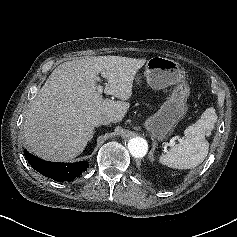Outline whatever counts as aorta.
<instances>
[{
	"label": "aorta",
	"mask_w": 237,
	"mask_h": 237,
	"mask_svg": "<svg viewBox=\"0 0 237 237\" xmlns=\"http://www.w3.org/2000/svg\"><path fill=\"white\" fill-rule=\"evenodd\" d=\"M128 148L132 156L136 158H141L147 153L148 144L144 138L134 137L129 140Z\"/></svg>",
	"instance_id": "obj_1"
}]
</instances>
